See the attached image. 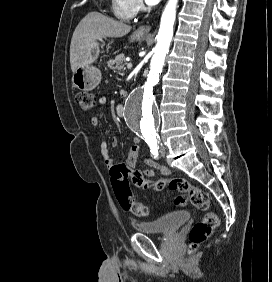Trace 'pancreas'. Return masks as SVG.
Listing matches in <instances>:
<instances>
[{"instance_id": "1", "label": "pancreas", "mask_w": 272, "mask_h": 282, "mask_svg": "<svg viewBox=\"0 0 272 282\" xmlns=\"http://www.w3.org/2000/svg\"><path fill=\"white\" fill-rule=\"evenodd\" d=\"M108 68L118 73L125 67V55L119 54L115 57V59H111L108 61Z\"/></svg>"}]
</instances>
